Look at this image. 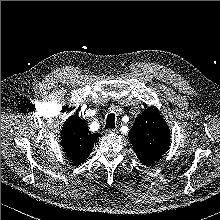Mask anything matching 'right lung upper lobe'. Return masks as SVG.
Masks as SVG:
<instances>
[{"instance_id":"obj_1","label":"right lung upper lobe","mask_w":220,"mask_h":220,"mask_svg":"<svg viewBox=\"0 0 220 220\" xmlns=\"http://www.w3.org/2000/svg\"><path fill=\"white\" fill-rule=\"evenodd\" d=\"M61 144L69 160L74 165H80L90 155L99 134L91 133L85 120L74 114L63 125Z\"/></svg>"}]
</instances>
